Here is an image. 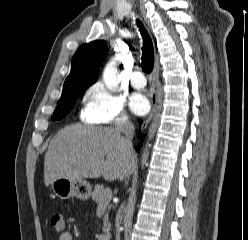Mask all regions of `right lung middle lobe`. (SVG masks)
<instances>
[{"instance_id":"right-lung-middle-lobe-1","label":"right lung middle lobe","mask_w":248,"mask_h":240,"mask_svg":"<svg viewBox=\"0 0 248 240\" xmlns=\"http://www.w3.org/2000/svg\"><path fill=\"white\" fill-rule=\"evenodd\" d=\"M87 89L76 84L63 87L61 98L57 104V108L52 116V120H60L64 118L74 106L77 98Z\"/></svg>"}]
</instances>
